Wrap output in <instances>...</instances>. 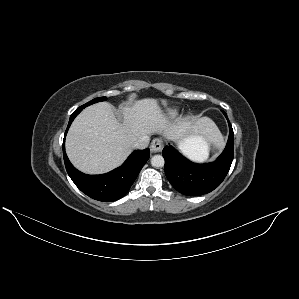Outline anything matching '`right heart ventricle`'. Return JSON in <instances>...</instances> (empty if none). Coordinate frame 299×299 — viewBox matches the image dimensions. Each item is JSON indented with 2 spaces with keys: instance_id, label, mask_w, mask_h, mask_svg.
<instances>
[{
  "instance_id": "obj_1",
  "label": "right heart ventricle",
  "mask_w": 299,
  "mask_h": 299,
  "mask_svg": "<svg viewBox=\"0 0 299 299\" xmlns=\"http://www.w3.org/2000/svg\"><path fill=\"white\" fill-rule=\"evenodd\" d=\"M176 112L175 111H171V114H175Z\"/></svg>"
}]
</instances>
